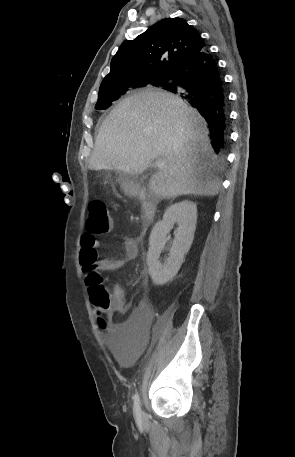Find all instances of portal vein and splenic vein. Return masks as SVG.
<instances>
[{"instance_id": "obj_1", "label": "portal vein and splenic vein", "mask_w": 295, "mask_h": 457, "mask_svg": "<svg viewBox=\"0 0 295 457\" xmlns=\"http://www.w3.org/2000/svg\"><path fill=\"white\" fill-rule=\"evenodd\" d=\"M155 164H156V166L159 167V168H163V167L165 166V162H164L162 159H157V160L155 161Z\"/></svg>"}]
</instances>
